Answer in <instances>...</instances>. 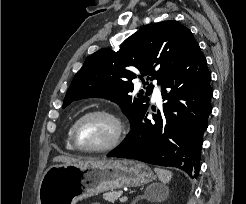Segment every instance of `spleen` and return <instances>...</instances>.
<instances>
[{
  "label": "spleen",
  "mask_w": 246,
  "mask_h": 204,
  "mask_svg": "<svg viewBox=\"0 0 246 204\" xmlns=\"http://www.w3.org/2000/svg\"><path fill=\"white\" fill-rule=\"evenodd\" d=\"M155 172L159 178V180L166 184V183H169V181L171 180L172 178V172L167 170V169H162V168H159V167H155Z\"/></svg>",
  "instance_id": "obj_1"
}]
</instances>
